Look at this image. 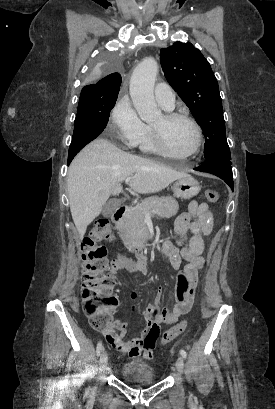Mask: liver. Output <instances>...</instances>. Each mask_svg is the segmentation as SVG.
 Listing matches in <instances>:
<instances>
[{
	"label": "liver",
	"instance_id": "6515ba94",
	"mask_svg": "<svg viewBox=\"0 0 275 409\" xmlns=\"http://www.w3.org/2000/svg\"><path fill=\"white\" fill-rule=\"evenodd\" d=\"M127 176H132L129 186L136 192H158L188 174L124 152L107 138H95L78 152L68 170L70 211L80 239L110 194L121 192Z\"/></svg>",
	"mask_w": 275,
	"mask_h": 409
}]
</instances>
